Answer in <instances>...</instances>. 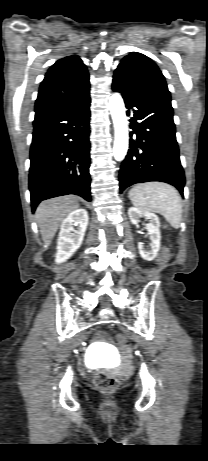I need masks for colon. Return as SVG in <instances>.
<instances>
[{"label": "colon", "instance_id": "obj_1", "mask_svg": "<svg viewBox=\"0 0 208 461\" xmlns=\"http://www.w3.org/2000/svg\"><path fill=\"white\" fill-rule=\"evenodd\" d=\"M115 342L119 345H126L127 340L122 334H116ZM95 387L102 392H109L116 389L119 385L118 379L111 373L99 371L94 377Z\"/></svg>", "mask_w": 208, "mask_h": 461}]
</instances>
